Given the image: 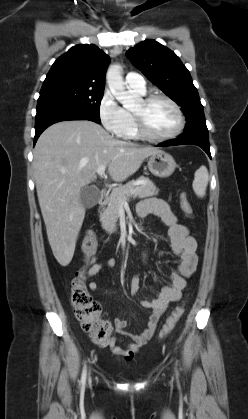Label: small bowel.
Wrapping results in <instances>:
<instances>
[{
  "label": "small bowel",
  "instance_id": "obj_1",
  "mask_svg": "<svg viewBox=\"0 0 248 419\" xmlns=\"http://www.w3.org/2000/svg\"><path fill=\"white\" fill-rule=\"evenodd\" d=\"M137 213L140 217H146L150 214L159 216L168 227V236L173 253L179 257L177 268L171 273L170 284L163 287L160 294L154 299H145L140 302L145 309L151 310L146 326L141 333L131 336L132 341L123 348L117 344V338L112 337L104 344L116 356L129 361L134 354L143 347L156 330L158 321L167 306L178 301L181 292L186 286V280L195 272L198 265V256L196 254L197 242L190 235L189 229L178 222L176 215L171 210L167 202L157 198H147L137 207ZM143 260H146V253H143ZM116 264L113 258H107L100 262L93 263L87 275L92 277L103 268H112ZM91 291H96L98 285L91 281L88 284ZM140 289V277L135 274L129 284L131 295H136ZM117 333H122L127 326V321L121 318L114 320Z\"/></svg>",
  "mask_w": 248,
  "mask_h": 419
}]
</instances>
